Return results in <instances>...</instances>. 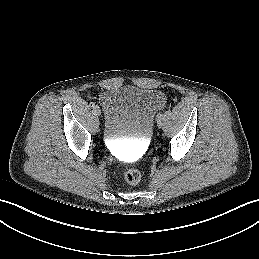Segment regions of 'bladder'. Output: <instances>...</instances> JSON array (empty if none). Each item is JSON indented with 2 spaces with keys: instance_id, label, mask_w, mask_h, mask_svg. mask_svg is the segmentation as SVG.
<instances>
[{
  "instance_id": "bladder-1",
  "label": "bladder",
  "mask_w": 259,
  "mask_h": 259,
  "mask_svg": "<svg viewBox=\"0 0 259 259\" xmlns=\"http://www.w3.org/2000/svg\"><path fill=\"white\" fill-rule=\"evenodd\" d=\"M159 104L158 93L153 90L128 87L108 92L104 96L106 137L149 138Z\"/></svg>"
}]
</instances>
